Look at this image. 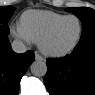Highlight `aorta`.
<instances>
[{"label":"aorta","instance_id":"aorta-1","mask_svg":"<svg viewBox=\"0 0 95 95\" xmlns=\"http://www.w3.org/2000/svg\"><path fill=\"white\" fill-rule=\"evenodd\" d=\"M31 73L36 77H42L45 76L47 73V65L46 62L42 60H35L31 66Z\"/></svg>","mask_w":95,"mask_h":95}]
</instances>
